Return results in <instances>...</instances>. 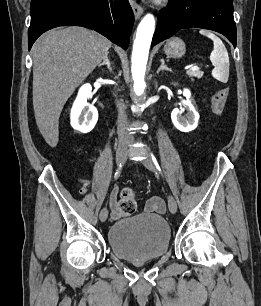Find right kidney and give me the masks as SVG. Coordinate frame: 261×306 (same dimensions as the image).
Here are the masks:
<instances>
[{"label": "right kidney", "instance_id": "ca27d5eb", "mask_svg": "<svg viewBox=\"0 0 261 306\" xmlns=\"http://www.w3.org/2000/svg\"><path fill=\"white\" fill-rule=\"evenodd\" d=\"M90 84L83 85L78 92L77 98L73 103L70 120L71 126L82 133L90 132L97 123L98 111L87 102L91 94Z\"/></svg>", "mask_w": 261, "mask_h": 306}]
</instances>
